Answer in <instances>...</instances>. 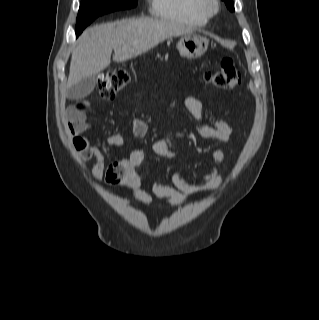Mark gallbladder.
<instances>
[{
  "label": "gallbladder",
  "mask_w": 319,
  "mask_h": 320,
  "mask_svg": "<svg viewBox=\"0 0 319 320\" xmlns=\"http://www.w3.org/2000/svg\"><path fill=\"white\" fill-rule=\"evenodd\" d=\"M96 86L95 76L81 79L67 91V98L71 100L82 99L87 97Z\"/></svg>",
  "instance_id": "1"
}]
</instances>
